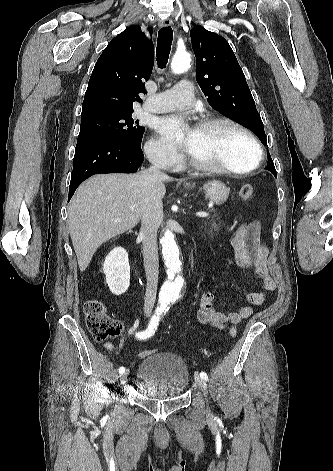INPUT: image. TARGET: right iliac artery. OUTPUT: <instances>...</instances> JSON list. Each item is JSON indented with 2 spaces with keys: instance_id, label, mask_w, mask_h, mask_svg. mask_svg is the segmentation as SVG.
Instances as JSON below:
<instances>
[{
  "instance_id": "1",
  "label": "right iliac artery",
  "mask_w": 333,
  "mask_h": 471,
  "mask_svg": "<svg viewBox=\"0 0 333 471\" xmlns=\"http://www.w3.org/2000/svg\"><path fill=\"white\" fill-rule=\"evenodd\" d=\"M159 320H160V313L157 312L152 316L147 329L144 330V331L136 333V337L139 340H144V339H147V338H150L151 336H153L156 329H157ZM124 372H125V368L120 367L119 368V373L123 374Z\"/></svg>"
}]
</instances>
